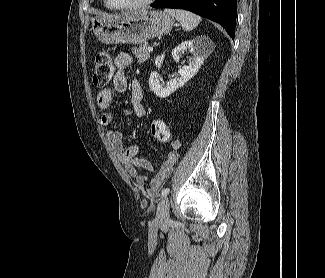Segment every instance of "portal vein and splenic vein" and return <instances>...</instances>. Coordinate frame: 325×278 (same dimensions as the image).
I'll use <instances>...</instances> for the list:
<instances>
[{
    "label": "portal vein and splenic vein",
    "mask_w": 325,
    "mask_h": 278,
    "mask_svg": "<svg viewBox=\"0 0 325 278\" xmlns=\"http://www.w3.org/2000/svg\"><path fill=\"white\" fill-rule=\"evenodd\" d=\"M147 50H148L149 52H152V51H153V47H150V46H149V47L147 48Z\"/></svg>",
    "instance_id": "obj_1"
}]
</instances>
